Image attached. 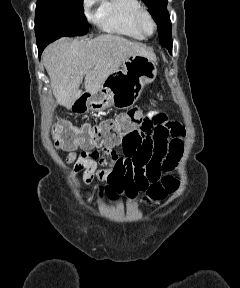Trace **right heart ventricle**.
Segmentation results:
<instances>
[{
	"instance_id": "right-heart-ventricle-1",
	"label": "right heart ventricle",
	"mask_w": 240,
	"mask_h": 288,
	"mask_svg": "<svg viewBox=\"0 0 240 288\" xmlns=\"http://www.w3.org/2000/svg\"><path fill=\"white\" fill-rule=\"evenodd\" d=\"M140 7L139 0H101L97 23L105 32L142 40L144 36L133 22L134 14Z\"/></svg>"
}]
</instances>
